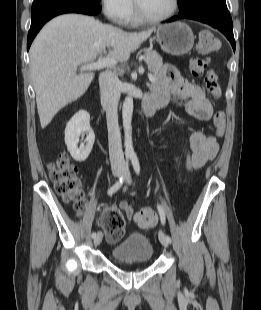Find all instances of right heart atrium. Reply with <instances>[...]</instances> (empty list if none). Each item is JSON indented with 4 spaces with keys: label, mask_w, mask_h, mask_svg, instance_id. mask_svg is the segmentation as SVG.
<instances>
[{
    "label": "right heart atrium",
    "mask_w": 261,
    "mask_h": 310,
    "mask_svg": "<svg viewBox=\"0 0 261 310\" xmlns=\"http://www.w3.org/2000/svg\"><path fill=\"white\" fill-rule=\"evenodd\" d=\"M100 5L106 17L118 24H125L133 12L131 0H100Z\"/></svg>",
    "instance_id": "obj_1"
}]
</instances>
